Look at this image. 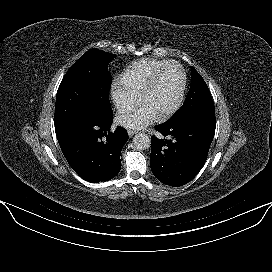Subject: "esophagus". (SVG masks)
Instances as JSON below:
<instances>
[{"label": "esophagus", "instance_id": "esophagus-1", "mask_svg": "<svg viewBox=\"0 0 272 272\" xmlns=\"http://www.w3.org/2000/svg\"><path fill=\"white\" fill-rule=\"evenodd\" d=\"M136 133H138V131H135V130H128V135H129V137H132V136L135 135Z\"/></svg>", "mask_w": 272, "mask_h": 272}]
</instances>
